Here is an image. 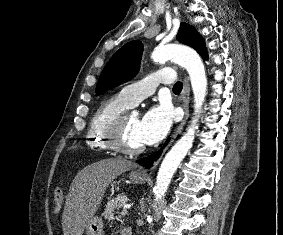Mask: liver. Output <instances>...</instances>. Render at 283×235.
Listing matches in <instances>:
<instances>
[{
	"mask_svg": "<svg viewBox=\"0 0 283 235\" xmlns=\"http://www.w3.org/2000/svg\"><path fill=\"white\" fill-rule=\"evenodd\" d=\"M137 164L123 158H109L92 163L75 176L66 196L62 214L64 235H82L94 216L107 187Z\"/></svg>",
	"mask_w": 283,
	"mask_h": 235,
	"instance_id": "1",
	"label": "liver"
}]
</instances>
